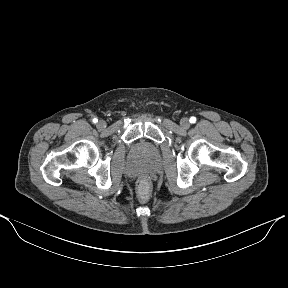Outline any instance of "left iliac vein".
<instances>
[{
	"instance_id": "4c4485c4",
	"label": "left iliac vein",
	"mask_w": 288,
	"mask_h": 288,
	"mask_svg": "<svg viewBox=\"0 0 288 288\" xmlns=\"http://www.w3.org/2000/svg\"><path fill=\"white\" fill-rule=\"evenodd\" d=\"M180 125L187 129L190 126L189 120L187 118H182L180 121Z\"/></svg>"
}]
</instances>
